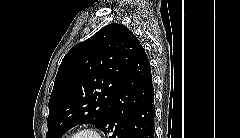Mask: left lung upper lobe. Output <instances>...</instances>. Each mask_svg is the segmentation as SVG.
Masks as SVG:
<instances>
[{
  "mask_svg": "<svg viewBox=\"0 0 240 138\" xmlns=\"http://www.w3.org/2000/svg\"><path fill=\"white\" fill-rule=\"evenodd\" d=\"M141 47L137 37L117 23L75 45L55 78L47 138H61L79 124L100 128Z\"/></svg>",
  "mask_w": 240,
  "mask_h": 138,
  "instance_id": "5c2ea615",
  "label": "left lung upper lobe"
}]
</instances>
